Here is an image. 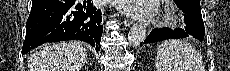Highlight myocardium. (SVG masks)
Wrapping results in <instances>:
<instances>
[{
    "label": "myocardium",
    "mask_w": 230,
    "mask_h": 71,
    "mask_svg": "<svg viewBox=\"0 0 230 71\" xmlns=\"http://www.w3.org/2000/svg\"><path fill=\"white\" fill-rule=\"evenodd\" d=\"M156 21L160 26L174 27L179 23V16L173 10L166 9Z\"/></svg>",
    "instance_id": "myocardium-1"
}]
</instances>
